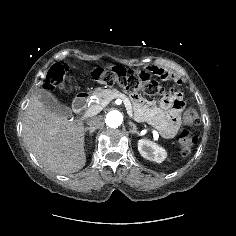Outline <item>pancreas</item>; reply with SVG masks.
Returning <instances> with one entry per match:
<instances>
[{"mask_svg":"<svg viewBox=\"0 0 236 236\" xmlns=\"http://www.w3.org/2000/svg\"><path fill=\"white\" fill-rule=\"evenodd\" d=\"M96 96L99 98V100L102 103L106 99H114V98H121L122 100H127L130 103V106H131V102H132V100L130 98H128L126 95L120 93L116 89L102 90L99 93H97ZM131 111H132V106H131Z\"/></svg>","mask_w":236,"mask_h":236,"instance_id":"pancreas-1","label":"pancreas"}]
</instances>
